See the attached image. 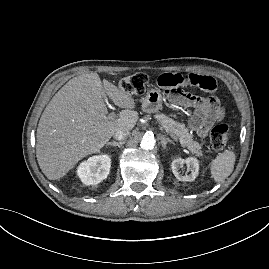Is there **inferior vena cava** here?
Segmentation results:
<instances>
[{
	"label": "inferior vena cava",
	"mask_w": 269,
	"mask_h": 269,
	"mask_svg": "<svg viewBox=\"0 0 269 269\" xmlns=\"http://www.w3.org/2000/svg\"><path fill=\"white\" fill-rule=\"evenodd\" d=\"M130 135V131L127 129H120L115 132L114 138L116 140H125Z\"/></svg>",
	"instance_id": "602c4592"
}]
</instances>
